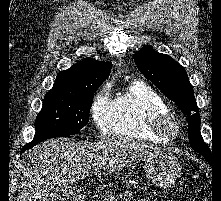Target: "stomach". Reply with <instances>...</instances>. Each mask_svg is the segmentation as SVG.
<instances>
[{"instance_id": "obj_1", "label": "stomach", "mask_w": 221, "mask_h": 201, "mask_svg": "<svg viewBox=\"0 0 221 201\" xmlns=\"http://www.w3.org/2000/svg\"><path fill=\"white\" fill-rule=\"evenodd\" d=\"M144 169L149 180L162 188L173 187L181 175L178 159L171 151L147 156Z\"/></svg>"}]
</instances>
